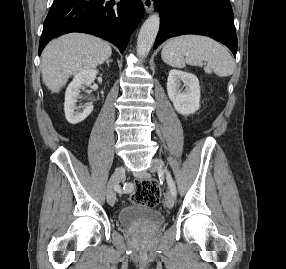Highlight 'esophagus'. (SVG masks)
<instances>
[{
  "instance_id": "34e87169",
  "label": "esophagus",
  "mask_w": 286,
  "mask_h": 269,
  "mask_svg": "<svg viewBox=\"0 0 286 269\" xmlns=\"http://www.w3.org/2000/svg\"><path fill=\"white\" fill-rule=\"evenodd\" d=\"M144 8L146 12H151L153 10V0H143Z\"/></svg>"
}]
</instances>
